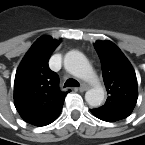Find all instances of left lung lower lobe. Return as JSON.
<instances>
[{
    "instance_id": "1",
    "label": "left lung lower lobe",
    "mask_w": 145,
    "mask_h": 145,
    "mask_svg": "<svg viewBox=\"0 0 145 145\" xmlns=\"http://www.w3.org/2000/svg\"><path fill=\"white\" fill-rule=\"evenodd\" d=\"M91 112L98 118H100L101 120H104V121H107V122H114L116 120L112 119V118H109V117H106V116H103L101 114H98L94 109L91 110Z\"/></svg>"
}]
</instances>
